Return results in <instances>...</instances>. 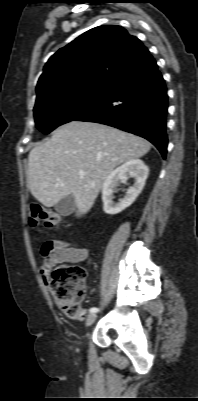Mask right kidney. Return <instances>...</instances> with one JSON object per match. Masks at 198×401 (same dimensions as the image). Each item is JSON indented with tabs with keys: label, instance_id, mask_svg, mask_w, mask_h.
I'll list each match as a JSON object with an SVG mask.
<instances>
[{
	"label": "right kidney",
	"instance_id": "ca27d5eb",
	"mask_svg": "<svg viewBox=\"0 0 198 401\" xmlns=\"http://www.w3.org/2000/svg\"><path fill=\"white\" fill-rule=\"evenodd\" d=\"M149 169L140 159L127 161L110 173L102 187L103 210L114 215L129 207L143 190ZM128 176L135 178L134 185L118 203L113 202V193L119 183H126Z\"/></svg>",
	"mask_w": 198,
	"mask_h": 401
}]
</instances>
